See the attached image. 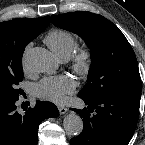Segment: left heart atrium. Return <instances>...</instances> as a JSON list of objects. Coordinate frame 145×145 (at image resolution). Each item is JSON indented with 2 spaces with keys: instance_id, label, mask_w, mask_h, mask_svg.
Returning <instances> with one entry per match:
<instances>
[{
  "instance_id": "obj_1",
  "label": "left heart atrium",
  "mask_w": 145,
  "mask_h": 145,
  "mask_svg": "<svg viewBox=\"0 0 145 145\" xmlns=\"http://www.w3.org/2000/svg\"><path fill=\"white\" fill-rule=\"evenodd\" d=\"M76 87L74 78L64 74L56 77H46L34 87L37 97L52 102L61 103L67 94H71Z\"/></svg>"
}]
</instances>
